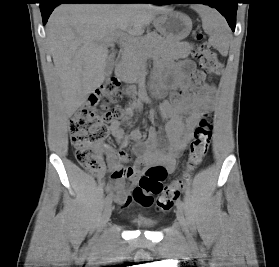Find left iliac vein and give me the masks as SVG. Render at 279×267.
Segmentation results:
<instances>
[{"label": "left iliac vein", "instance_id": "1", "mask_svg": "<svg viewBox=\"0 0 279 267\" xmlns=\"http://www.w3.org/2000/svg\"><path fill=\"white\" fill-rule=\"evenodd\" d=\"M176 215H177V220H178L179 224L181 225L183 231L185 232L186 236L189 239H191V233L189 232L188 225H187V222L185 220L182 209L178 208V210L176 212Z\"/></svg>", "mask_w": 279, "mask_h": 267}]
</instances>
